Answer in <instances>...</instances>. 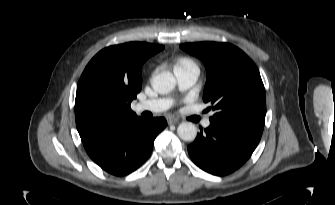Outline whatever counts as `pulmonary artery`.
I'll return each instance as SVG.
<instances>
[{"label": "pulmonary artery", "instance_id": "1", "mask_svg": "<svg viewBox=\"0 0 335 205\" xmlns=\"http://www.w3.org/2000/svg\"><path fill=\"white\" fill-rule=\"evenodd\" d=\"M174 75L181 90H186L193 86L199 77V68L194 63L177 64L174 67ZM172 101L170 99L159 98L142 101L137 104L138 111H150L153 113L163 112L170 108ZM210 120L203 121V126L208 127Z\"/></svg>", "mask_w": 335, "mask_h": 205}]
</instances>
